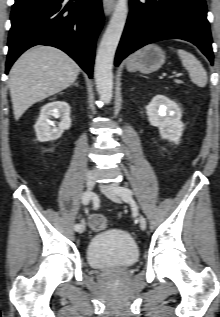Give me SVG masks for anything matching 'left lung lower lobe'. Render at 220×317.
I'll return each mask as SVG.
<instances>
[{
  "instance_id": "1",
  "label": "left lung lower lobe",
  "mask_w": 220,
  "mask_h": 317,
  "mask_svg": "<svg viewBox=\"0 0 220 317\" xmlns=\"http://www.w3.org/2000/svg\"><path fill=\"white\" fill-rule=\"evenodd\" d=\"M170 38L195 44L213 64L205 0H130L115 65L146 44Z\"/></svg>"
}]
</instances>
